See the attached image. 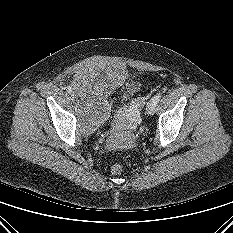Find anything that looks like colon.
I'll list each match as a JSON object with an SVG mask.
<instances>
[{"label":"colon","mask_w":233,"mask_h":233,"mask_svg":"<svg viewBox=\"0 0 233 233\" xmlns=\"http://www.w3.org/2000/svg\"><path fill=\"white\" fill-rule=\"evenodd\" d=\"M125 171V165L122 163H115L111 167V172L115 175H120Z\"/></svg>","instance_id":"obj_1"}]
</instances>
